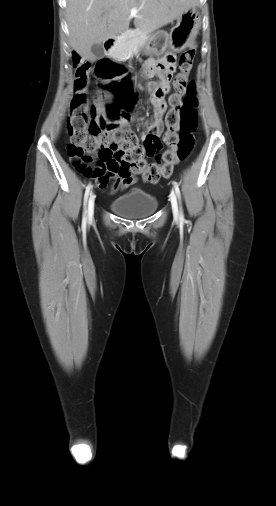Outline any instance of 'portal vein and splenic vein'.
<instances>
[{"label":"portal vein and splenic vein","mask_w":276,"mask_h":506,"mask_svg":"<svg viewBox=\"0 0 276 506\" xmlns=\"http://www.w3.org/2000/svg\"><path fill=\"white\" fill-rule=\"evenodd\" d=\"M137 12H138V10L136 8H133L131 10V16H136Z\"/></svg>","instance_id":"18ae733b"}]
</instances>
